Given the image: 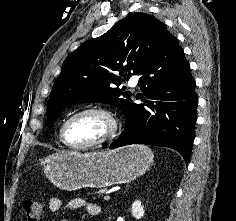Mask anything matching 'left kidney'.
<instances>
[{
  "label": "left kidney",
  "instance_id": "5707ae66",
  "mask_svg": "<svg viewBox=\"0 0 236 221\" xmlns=\"http://www.w3.org/2000/svg\"><path fill=\"white\" fill-rule=\"evenodd\" d=\"M131 213L132 216L136 219H141L144 216L145 211L143 205L141 204V201L136 200L135 202H133Z\"/></svg>",
  "mask_w": 236,
  "mask_h": 221
}]
</instances>
